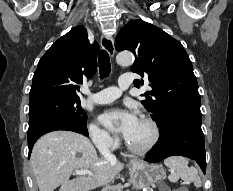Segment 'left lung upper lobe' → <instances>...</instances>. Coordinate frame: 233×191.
<instances>
[{"mask_svg": "<svg viewBox=\"0 0 233 191\" xmlns=\"http://www.w3.org/2000/svg\"><path fill=\"white\" fill-rule=\"evenodd\" d=\"M115 48L135 54L131 71L144 77L135 80V85L148 82L152 88L142 94L141 102L160 129L178 116L202 118L197 80L179 41L150 23L132 20L118 33Z\"/></svg>", "mask_w": 233, "mask_h": 191, "instance_id": "left-lung-upper-lobe-1", "label": "left lung upper lobe"}]
</instances>
